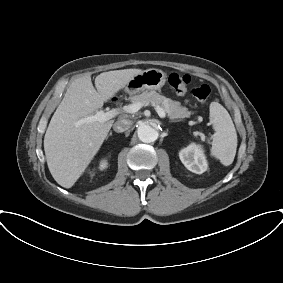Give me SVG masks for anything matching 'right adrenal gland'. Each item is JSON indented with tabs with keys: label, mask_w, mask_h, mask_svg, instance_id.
I'll return each instance as SVG.
<instances>
[{
	"label": "right adrenal gland",
	"mask_w": 283,
	"mask_h": 283,
	"mask_svg": "<svg viewBox=\"0 0 283 283\" xmlns=\"http://www.w3.org/2000/svg\"><path fill=\"white\" fill-rule=\"evenodd\" d=\"M110 136H112V132L109 133L106 139H108Z\"/></svg>",
	"instance_id": "obj_1"
}]
</instances>
